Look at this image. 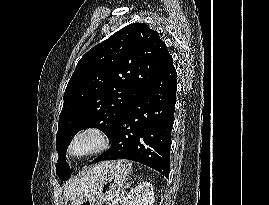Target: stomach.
Listing matches in <instances>:
<instances>
[{
	"label": "stomach",
	"instance_id": "stomach-1",
	"mask_svg": "<svg viewBox=\"0 0 269 205\" xmlns=\"http://www.w3.org/2000/svg\"><path fill=\"white\" fill-rule=\"evenodd\" d=\"M132 171L125 160L111 162L85 195L72 200L71 205H114L118 203L123 185Z\"/></svg>",
	"mask_w": 269,
	"mask_h": 205
}]
</instances>
